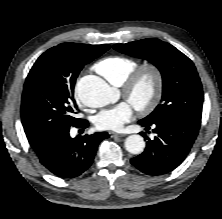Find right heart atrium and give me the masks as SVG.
Segmentation results:
<instances>
[{"instance_id":"right-heart-atrium-1","label":"right heart atrium","mask_w":222,"mask_h":219,"mask_svg":"<svg viewBox=\"0 0 222 219\" xmlns=\"http://www.w3.org/2000/svg\"><path fill=\"white\" fill-rule=\"evenodd\" d=\"M78 98H79V100H81V101L84 100V98H83V96H82L81 94H78Z\"/></svg>"}]
</instances>
